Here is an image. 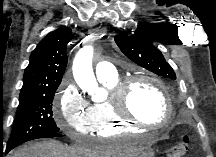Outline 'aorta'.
<instances>
[{"label": "aorta", "instance_id": "1", "mask_svg": "<svg viewBox=\"0 0 216 157\" xmlns=\"http://www.w3.org/2000/svg\"><path fill=\"white\" fill-rule=\"evenodd\" d=\"M93 50L91 46H85L76 55L73 62V75L77 85L83 91H90L96 101L104 98L92 69Z\"/></svg>", "mask_w": 216, "mask_h": 157}]
</instances>
